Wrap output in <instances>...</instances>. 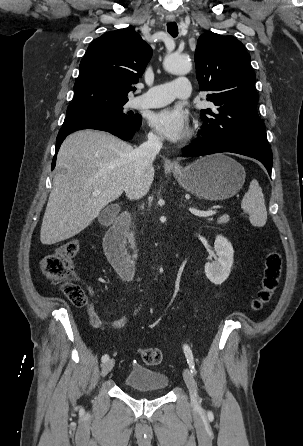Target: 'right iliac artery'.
<instances>
[{"mask_svg":"<svg viewBox=\"0 0 303 446\" xmlns=\"http://www.w3.org/2000/svg\"><path fill=\"white\" fill-rule=\"evenodd\" d=\"M101 360H102L103 363L108 361L109 360V355L108 354L103 355Z\"/></svg>","mask_w":303,"mask_h":446,"instance_id":"obj_1","label":"right iliac artery"}]
</instances>
